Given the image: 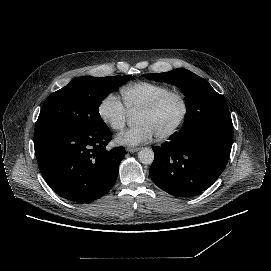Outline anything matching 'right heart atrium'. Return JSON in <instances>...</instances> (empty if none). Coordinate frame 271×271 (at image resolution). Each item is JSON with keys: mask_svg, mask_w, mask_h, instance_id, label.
<instances>
[{"mask_svg": "<svg viewBox=\"0 0 271 271\" xmlns=\"http://www.w3.org/2000/svg\"><path fill=\"white\" fill-rule=\"evenodd\" d=\"M97 114L110 130L119 132L124 129L129 112L115 92L111 91L98 103Z\"/></svg>", "mask_w": 271, "mask_h": 271, "instance_id": "d8ad5b80", "label": "right heart atrium"}]
</instances>
